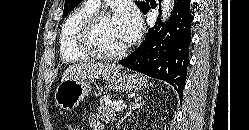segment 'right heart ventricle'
I'll return each mask as SVG.
<instances>
[{"label":"right heart ventricle","instance_id":"1","mask_svg":"<svg viewBox=\"0 0 249 130\" xmlns=\"http://www.w3.org/2000/svg\"><path fill=\"white\" fill-rule=\"evenodd\" d=\"M97 5L90 0L76 7L64 21L59 36V50L61 59L65 62H75L89 58L78 44V32L83 21L98 10Z\"/></svg>","mask_w":249,"mask_h":130}]
</instances>
